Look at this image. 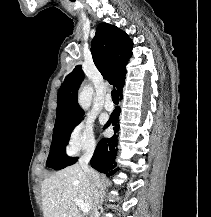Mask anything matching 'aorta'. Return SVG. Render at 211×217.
<instances>
[{"instance_id":"1","label":"aorta","mask_w":211,"mask_h":217,"mask_svg":"<svg viewBox=\"0 0 211 217\" xmlns=\"http://www.w3.org/2000/svg\"><path fill=\"white\" fill-rule=\"evenodd\" d=\"M92 94H93V89L89 85H85L82 87L79 96H78V101L80 106L83 109H87L91 105V99H92Z\"/></svg>"}]
</instances>
